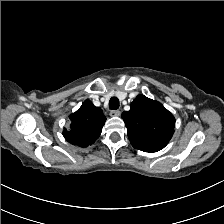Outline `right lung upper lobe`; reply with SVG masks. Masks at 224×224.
<instances>
[{"label":"right lung upper lobe","instance_id":"cb5924a9","mask_svg":"<svg viewBox=\"0 0 224 224\" xmlns=\"http://www.w3.org/2000/svg\"><path fill=\"white\" fill-rule=\"evenodd\" d=\"M69 118L70 129L64 128L63 136L69 143L80 147L93 144L100 136L106 121L101 108L94 106L88 99Z\"/></svg>","mask_w":224,"mask_h":224}]
</instances>
